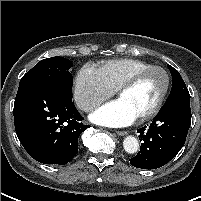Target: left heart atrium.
Returning <instances> with one entry per match:
<instances>
[{
    "label": "left heart atrium",
    "instance_id": "obj_1",
    "mask_svg": "<svg viewBox=\"0 0 201 201\" xmlns=\"http://www.w3.org/2000/svg\"><path fill=\"white\" fill-rule=\"evenodd\" d=\"M137 119L135 113L119 98L100 107L91 115V120L108 127H124Z\"/></svg>",
    "mask_w": 201,
    "mask_h": 201
}]
</instances>
